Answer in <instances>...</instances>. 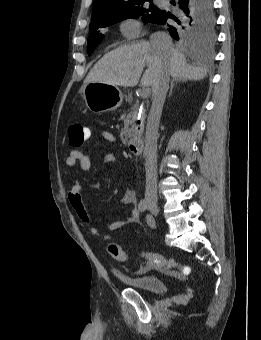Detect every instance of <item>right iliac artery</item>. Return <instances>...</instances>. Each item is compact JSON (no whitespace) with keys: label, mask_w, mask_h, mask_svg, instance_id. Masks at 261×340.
Instances as JSON below:
<instances>
[{"label":"right iliac artery","mask_w":261,"mask_h":340,"mask_svg":"<svg viewBox=\"0 0 261 340\" xmlns=\"http://www.w3.org/2000/svg\"><path fill=\"white\" fill-rule=\"evenodd\" d=\"M138 208L141 212H144L147 209V201L145 199H142L139 202Z\"/></svg>","instance_id":"right-iliac-artery-1"}]
</instances>
